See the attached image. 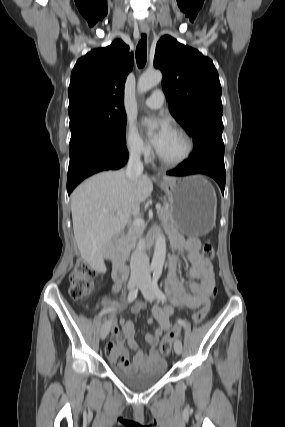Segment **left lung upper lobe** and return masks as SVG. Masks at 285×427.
Returning <instances> with one entry per match:
<instances>
[{"label": "left lung upper lobe", "instance_id": "left-lung-upper-lobe-1", "mask_svg": "<svg viewBox=\"0 0 285 427\" xmlns=\"http://www.w3.org/2000/svg\"><path fill=\"white\" fill-rule=\"evenodd\" d=\"M154 66L163 72L171 114L195 145L222 140V90L212 60L166 35L156 45Z\"/></svg>", "mask_w": 285, "mask_h": 427}]
</instances>
